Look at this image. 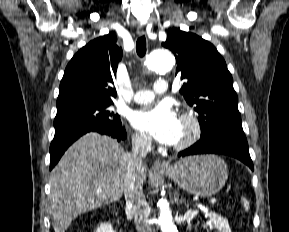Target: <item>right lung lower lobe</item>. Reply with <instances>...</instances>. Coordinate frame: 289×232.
<instances>
[{
	"mask_svg": "<svg viewBox=\"0 0 289 232\" xmlns=\"http://www.w3.org/2000/svg\"><path fill=\"white\" fill-rule=\"evenodd\" d=\"M94 131L100 134H106L118 141L127 137L125 129L121 125L106 127H72L55 131L54 139L50 145L51 165L50 170L57 164L65 150L83 134Z\"/></svg>",
	"mask_w": 289,
	"mask_h": 232,
	"instance_id": "obj_1",
	"label": "right lung lower lobe"
}]
</instances>
